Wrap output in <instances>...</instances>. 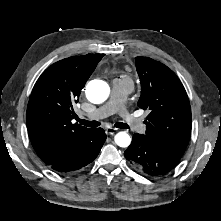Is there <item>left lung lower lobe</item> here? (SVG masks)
<instances>
[{
  "label": "left lung lower lobe",
  "instance_id": "1",
  "mask_svg": "<svg viewBox=\"0 0 221 221\" xmlns=\"http://www.w3.org/2000/svg\"><path fill=\"white\" fill-rule=\"evenodd\" d=\"M124 155L133 167L149 176L164 175L175 168L180 161V158L173 156L138 133L132 137V142Z\"/></svg>",
  "mask_w": 221,
  "mask_h": 221
}]
</instances>
